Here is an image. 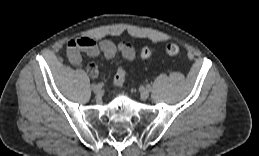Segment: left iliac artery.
<instances>
[{"mask_svg":"<svg viewBox=\"0 0 259 156\" xmlns=\"http://www.w3.org/2000/svg\"><path fill=\"white\" fill-rule=\"evenodd\" d=\"M147 88L150 90V89H151V86H150V85H147Z\"/></svg>","mask_w":259,"mask_h":156,"instance_id":"left-iliac-artery-1","label":"left iliac artery"}]
</instances>
